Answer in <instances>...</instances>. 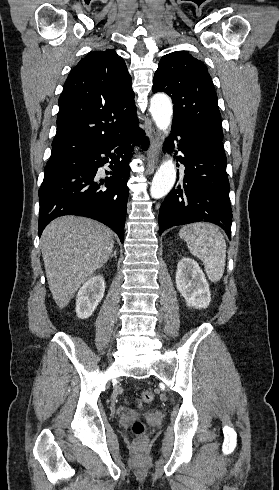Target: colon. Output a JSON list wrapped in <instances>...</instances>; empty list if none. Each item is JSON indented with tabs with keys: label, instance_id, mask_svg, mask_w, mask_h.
<instances>
[{
	"label": "colon",
	"instance_id": "obj_1",
	"mask_svg": "<svg viewBox=\"0 0 279 490\" xmlns=\"http://www.w3.org/2000/svg\"><path fill=\"white\" fill-rule=\"evenodd\" d=\"M154 400V394L151 390L147 389L141 393V396L138 400L139 403H151ZM132 431L136 435H141L145 431V426L140 421H136L132 425Z\"/></svg>",
	"mask_w": 279,
	"mask_h": 490
}]
</instances>
